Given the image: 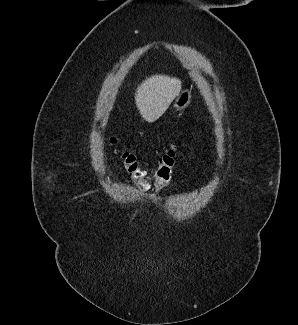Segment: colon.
Segmentation results:
<instances>
[{"label":"colon","mask_w":298,"mask_h":325,"mask_svg":"<svg viewBox=\"0 0 298 325\" xmlns=\"http://www.w3.org/2000/svg\"><path fill=\"white\" fill-rule=\"evenodd\" d=\"M112 144H116V139H111ZM118 154L122 159L123 168L128 174L134 185L143 192H146L152 188L146 172L142 169L136 156L125 150L119 149ZM177 151L175 147L168 149L160 158L158 167L154 174V188L161 190L165 188L172 177L174 167L176 164Z\"/></svg>","instance_id":"1"}]
</instances>
